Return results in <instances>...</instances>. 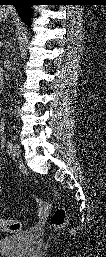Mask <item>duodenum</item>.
<instances>
[{"mask_svg": "<svg viewBox=\"0 0 106 257\" xmlns=\"http://www.w3.org/2000/svg\"><path fill=\"white\" fill-rule=\"evenodd\" d=\"M0 84H2V79H0Z\"/></svg>", "mask_w": 106, "mask_h": 257, "instance_id": "410a0bca", "label": "duodenum"}]
</instances>
